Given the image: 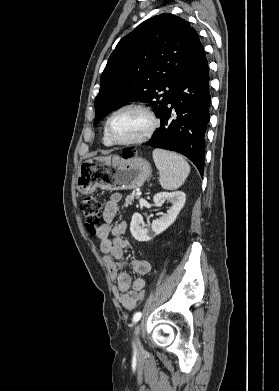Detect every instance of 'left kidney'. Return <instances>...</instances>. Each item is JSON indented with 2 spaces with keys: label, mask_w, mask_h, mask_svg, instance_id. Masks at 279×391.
I'll use <instances>...</instances> for the list:
<instances>
[{
  "label": "left kidney",
  "mask_w": 279,
  "mask_h": 391,
  "mask_svg": "<svg viewBox=\"0 0 279 391\" xmlns=\"http://www.w3.org/2000/svg\"><path fill=\"white\" fill-rule=\"evenodd\" d=\"M167 200L171 207L166 214L153 220L151 228H147L143 217L139 213H134L130 223V231L132 236L138 241H149L154 236L165 231L177 218L180 210L183 208L186 200L185 193L182 191L175 192H159L153 197L155 204Z\"/></svg>",
  "instance_id": "left-kidney-1"
}]
</instances>
